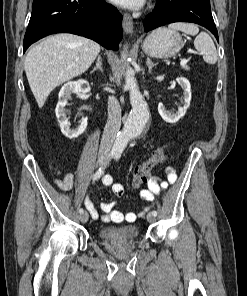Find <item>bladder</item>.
I'll list each match as a JSON object with an SVG mask.
<instances>
[{
  "mask_svg": "<svg viewBox=\"0 0 247 296\" xmlns=\"http://www.w3.org/2000/svg\"><path fill=\"white\" fill-rule=\"evenodd\" d=\"M139 228L135 224L124 226H108L99 230V237L106 242L134 240L139 236Z\"/></svg>",
  "mask_w": 247,
  "mask_h": 296,
  "instance_id": "1",
  "label": "bladder"
}]
</instances>
